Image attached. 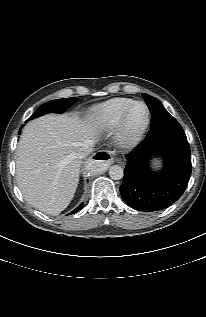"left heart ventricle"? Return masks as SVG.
<instances>
[{
  "mask_svg": "<svg viewBox=\"0 0 206 317\" xmlns=\"http://www.w3.org/2000/svg\"><path fill=\"white\" fill-rule=\"evenodd\" d=\"M146 117V109L143 105H137L131 112L128 124L130 129H134L141 125Z\"/></svg>",
  "mask_w": 206,
  "mask_h": 317,
  "instance_id": "b2bd125f",
  "label": "left heart ventricle"
}]
</instances>
